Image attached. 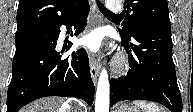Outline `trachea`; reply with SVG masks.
Segmentation results:
<instances>
[{
    "label": "trachea",
    "instance_id": "1",
    "mask_svg": "<svg viewBox=\"0 0 193 112\" xmlns=\"http://www.w3.org/2000/svg\"><path fill=\"white\" fill-rule=\"evenodd\" d=\"M96 3L102 13L112 16V17H116V18L120 17L119 15H116L112 13L111 11H109L100 1H96Z\"/></svg>",
    "mask_w": 193,
    "mask_h": 112
}]
</instances>
